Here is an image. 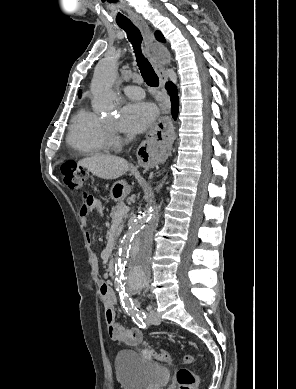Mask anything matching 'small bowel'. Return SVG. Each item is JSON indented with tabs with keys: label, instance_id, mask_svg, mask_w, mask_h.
I'll list each match as a JSON object with an SVG mask.
<instances>
[{
	"label": "small bowel",
	"instance_id": "small-bowel-1",
	"mask_svg": "<svg viewBox=\"0 0 296 389\" xmlns=\"http://www.w3.org/2000/svg\"><path fill=\"white\" fill-rule=\"evenodd\" d=\"M93 210L102 213L103 206L101 201L92 195L84 194L80 207V217L84 225L88 224L89 216ZM99 291L104 305V316L110 338L119 344H139L143 338L142 331L138 328H126L116 321L115 305L117 299L111 286L103 282L100 285Z\"/></svg>",
	"mask_w": 296,
	"mask_h": 389
}]
</instances>
